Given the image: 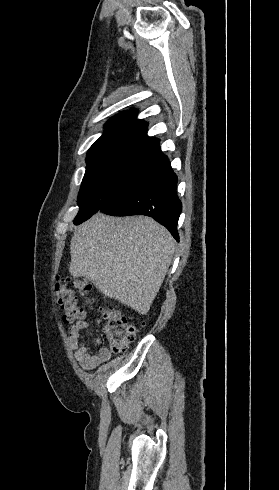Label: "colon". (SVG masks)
Wrapping results in <instances>:
<instances>
[{"instance_id": "5ec220e1", "label": "colon", "mask_w": 279, "mask_h": 490, "mask_svg": "<svg viewBox=\"0 0 279 490\" xmlns=\"http://www.w3.org/2000/svg\"><path fill=\"white\" fill-rule=\"evenodd\" d=\"M75 288L93 306V298L90 296L91 285L76 281ZM55 297L62 309L64 323L70 324L85 317V310L78 305V298L69 278L57 279ZM100 312L107 321L106 337L111 349L116 352H124L133 341L137 328L128 324L125 317L117 311L100 308Z\"/></svg>"}]
</instances>
